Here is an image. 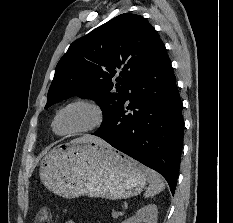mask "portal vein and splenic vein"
<instances>
[{
	"label": "portal vein and splenic vein",
	"mask_w": 233,
	"mask_h": 223,
	"mask_svg": "<svg viewBox=\"0 0 233 223\" xmlns=\"http://www.w3.org/2000/svg\"><path fill=\"white\" fill-rule=\"evenodd\" d=\"M112 217H118V213H117V211H113V213H112Z\"/></svg>",
	"instance_id": "18ae733b"
}]
</instances>
